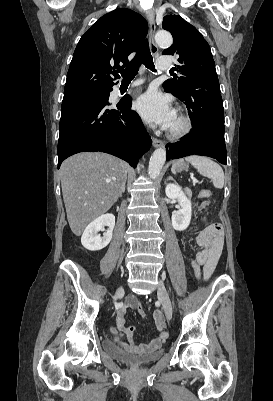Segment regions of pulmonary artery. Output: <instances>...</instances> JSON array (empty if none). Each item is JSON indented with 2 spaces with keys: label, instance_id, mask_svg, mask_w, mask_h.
<instances>
[{
  "label": "pulmonary artery",
  "instance_id": "obj_1",
  "mask_svg": "<svg viewBox=\"0 0 273 401\" xmlns=\"http://www.w3.org/2000/svg\"><path fill=\"white\" fill-rule=\"evenodd\" d=\"M156 63L163 72H169L171 70V65L168 63L166 57H158ZM122 86H125V83H122Z\"/></svg>",
  "mask_w": 273,
  "mask_h": 401
}]
</instances>
